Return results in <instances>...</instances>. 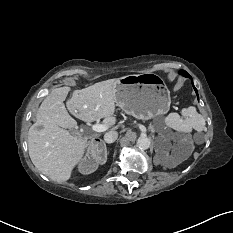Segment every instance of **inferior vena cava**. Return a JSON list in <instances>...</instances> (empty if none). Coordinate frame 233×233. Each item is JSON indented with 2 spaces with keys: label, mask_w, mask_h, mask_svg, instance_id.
<instances>
[{
  "label": "inferior vena cava",
  "mask_w": 233,
  "mask_h": 233,
  "mask_svg": "<svg viewBox=\"0 0 233 233\" xmlns=\"http://www.w3.org/2000/svg\"><path fill=\"white\" fill-rule=\"evenodd\" d=\"M118 133L116 131H109L104 135V140L106 143H113L116 141Z\"/></svg>",
  "instance_id": "602c4592"
}]
</instances>
